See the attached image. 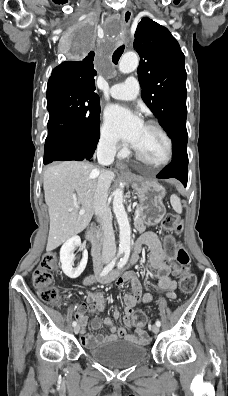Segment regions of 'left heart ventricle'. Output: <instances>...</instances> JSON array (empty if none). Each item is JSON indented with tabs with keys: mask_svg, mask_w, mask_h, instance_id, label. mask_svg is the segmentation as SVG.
Here are the masks:
<instances>
[{
	"mask_svg": "<svg viewBox=\"0 0 228 396\" xmlns=\"http://www.w3.org/2000/svg\"><path fill=\"white\" fill-rule=\"evenodd\" d=\"M140 154L152 163L162 162L168 152L163 135L154 128L144 125L134 146Z\"/></svg>",
	"mask_w": 228,
	"mask_h": 396,
	"instance_id": "1",
	"label": "left heart ventricle"
}]
</instances>
